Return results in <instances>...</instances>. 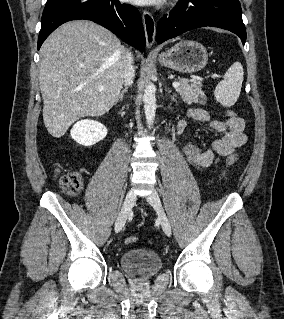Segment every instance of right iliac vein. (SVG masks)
Returning <instances> with one entry per match:
<instances>
[{
  "instance_id": "63e3f726",
  "label": "right iliac vein",
  "mask_w": 284,
  "mask_h": 319,
  "mask_svg": "<svg viewBox=\"0 0 284 319\" xmlns=\"http://www.w3.org/2000/svg\"><path fill=\"white\" fill-rule=\"evenodd\" d=\"M136 201V194L134 192L133 189H131L126 197H125V200H124V203H123V206H122V209L116 219V222H115V232L118 233L122 230V228L124 227L125 225V222L127 220V217L134 205Z\"/></svg>"
}]
</instances>
